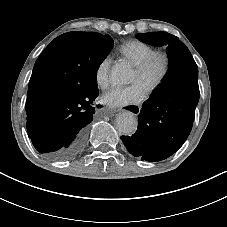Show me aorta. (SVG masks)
Wrapping results in <instances>:
<instances>
[{"label":"aorta","mask_w":227,"mask_h":227,"mask_svg":"<svg viewBox=\"0 0 227 227\" xmlns=\"http://www.w3.org/2000/svg\"><path fill=\"white\" fill-rule=\"evenodd\" d=\"M131 72L125 64H115L111 71V81L114 84H124L130 80ZM117 130L125 135H132L137 129V119L132 112H121L116 118Z\"/></svg>","instance_id":"obj_1"}]
</instances>
